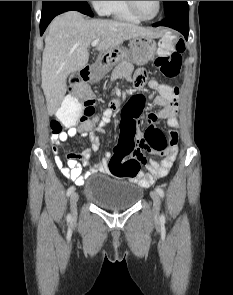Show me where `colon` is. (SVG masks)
<instances>
[{
	"label": "colon",
	"instance_id": "5ec220e1",
	"mask_svg": "<svg viewBox=\"0 0 233 295\" xmlns=\"http://www.w3.org/2000/svg\"><path fill=\"white\" fill-rule=\"evenodd\" d=\"M185 50L183 40L173 33L167 34L160 42V55L155 65L168 78L180 75L182 53ZM150 87L159 95L172 98L178 96L179 89L175 86L150 82ZM94 95L88 81L81 76L75 77L70 84V95L64 100L58 111L57 119L50 123L54 134L62 131V124L71 125L81 117V124L91 128L95 124ZM120 138L114 148L109 162L110 174L116 177L134 178L142 164L146 163L145 153L165 154L171 143L163 132L149 126L145 132L139 133L137 121L129 112H123L120 122Z\"/></svg>",
	"mask_w": 233,
	"mask_h": 295
}]
</instances>
